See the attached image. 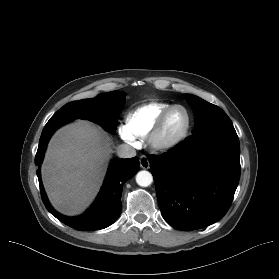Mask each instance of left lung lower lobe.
Listing matches in <instances>:
<instances>
[{"instance_id": "obj_1", "label": "left lung lower lobe", "mask_w": 279, "mask_h": 279, "mask_svg": "<svg viewBox=\"0 0 279 279\" xmlns=\"http://www.w3.org/2000/svg\"><path fill=\"white\" fill-rule=\"evenodd\" d=\"M158 204L165 221L183 231L219 221L240 177V144L234 128L192 133L162 155H150Z\"/></svg>"}]
</instances>
